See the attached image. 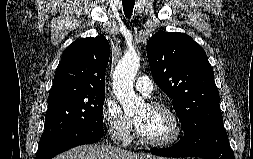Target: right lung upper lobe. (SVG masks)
Segmentation results:
<instances>
[{"mask_svg":"<svg viewBox=\"0 0 253 159\" xmlns=\"http://www.w3.org/2000/svg\"><path fill=\"white\" fill-rule=\"evenodd\" d=\"M110 47L103 35L77 39L63 52L49 97L105 91Z\"/></svg>","mask_w":253,"mask_h":159,"instance_id":"1","label":"right lung upper lobe"}]
</instances>
